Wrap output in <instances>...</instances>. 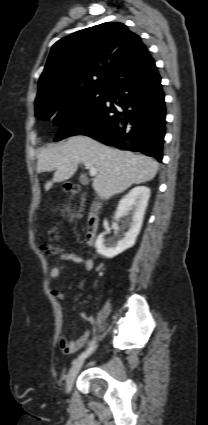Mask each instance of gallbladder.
<instances>
[{
	"label": "gallbladder",
	"mask_w": 208,
	"mask_h": 425,
	"mask_svg": "<svg viewBox=\"0 0 208 425\" xmlns=\"http://www.w3.org/2000/svg\"><path fill=\"white\" fill-rule=\"evenodd\" d=\"M79 180H80V182H81L82 184H87V180H86V178H85V176H84V175H81V176H80V178H79Z\"/></svg>",
	"instance_id": "obj_1"
}]
</instances>
